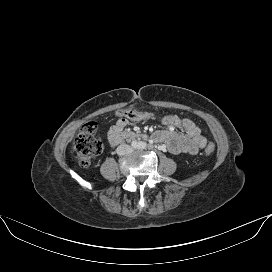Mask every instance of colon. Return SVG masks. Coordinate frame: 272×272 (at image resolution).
<instances>
[{"label":"colon","mask_w":272,"mask_h":272,"mask_svg":"<svg viewBox=\"0 0 272 272\" xmlns=\"http://www.w3.org/2000/svg\"><path fill=\"white\" fill-rule=\"evenodd\" d=\"M117 114L123 118L133 121H149L154 118V114L147 111H140L136 107L120 109ZM103 144L97 136L95 123H87L75 141V153L79 164L83 167L88 166L92 159L101 154ZM215 146L209 143L205 148L206 154L214 152Z\"/></svg>","instance_id":"obj_1"}]
</instances>
